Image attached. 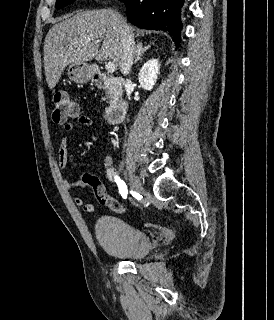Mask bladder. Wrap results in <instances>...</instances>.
Segmentation results:
<instances>
[{
  "instance_id": "1",
  "label": "bladder",
  "mask_w": 274,
  "mask_h": 320,
  "mask_svg": "<svg viewBox=\"0 0 274 320\" xmlns=\"http://www.w3.org/2000/svg\"><path fill=\"white\" fill-rule=\"evenodd\" d=\"M95 235L107 254L123 260H141L154 247L145 230L114 216L99 218L95 224Z\"/></svg>"
}]
</instances>
